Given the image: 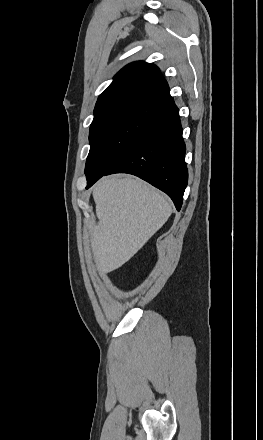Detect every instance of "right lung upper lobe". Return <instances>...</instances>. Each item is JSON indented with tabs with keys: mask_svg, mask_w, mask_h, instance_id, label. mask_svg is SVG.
<instances>
[{
	"mask_svg": "<svg viewBox=\"0 0 263 440\" xmlns=\"http://www.w3.org/2000/svg\"><path fill=\"white\" fill-rule=\"evenodd\" d=\"M170 97L167 81L158 67L133 62L120 70L99 96L94 115L121 107L160 106Z\"/></svg>",
	"mask_w": 263,
	"mask_h": 440,
	"instance_id": "right-lung-upper-lobe-1",
	"label": "right lung upper lobe"
}]
</instances>
